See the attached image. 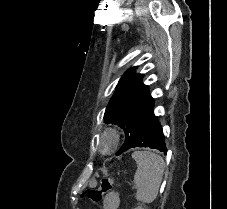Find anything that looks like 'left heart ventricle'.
<instances>
[{"label": "left heart ventricle", "mask_w": 227, "mask_h": 209, "mask_svg": "<svg viewBox=\"0 0 227 209\" xmlns=\"http://www.w3.org/2000/svg\"><path fill=\"white\" fill-rule=\"evenodd\" d=\"M109 144H110V138H109V137L103 136V137L100 139V145H101L102 147H105V146H107V145H109Z\"/></svg>", "instance_id": "left-heart-ventricle-1"}]
</instances>
